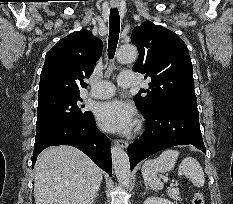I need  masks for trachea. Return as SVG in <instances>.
<instances>
[{
	"mask_svg": "<svg viewBox=\"0 0 233 204\" xmlns=\"http://www.w3.org/2000/svg\"><path fill=\"white\" fill-rule=\"evenodd\" d=\"M120 31V16L117 9H111L109 17V40H108V56L110 59L113 58Z\"/></svg>",
	"mask_w": 233,
	"mask_h": 204,
	"instance_id": "1",
	"label": "trachea"
}]
</instances>
